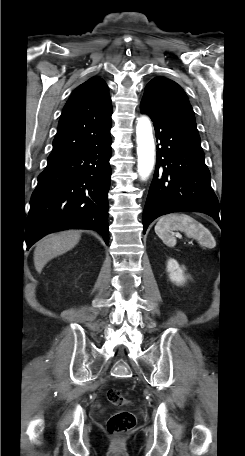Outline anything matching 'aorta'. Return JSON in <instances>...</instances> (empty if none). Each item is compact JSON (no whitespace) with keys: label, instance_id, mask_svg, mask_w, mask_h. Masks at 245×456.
Returning <instances> with one entry per match:
<instances>
[{"label":"aorta","instance_id":"obj_1","mask_svg":"<svg viewBox=\"0 0 245 456\" xmlns=\"http://www.w3.org/2000/svg\"><path fill=\"white\" fill-rule=\"evenodd\" d=\"M136 142L138 156V174L146 180L151 174L155 164V144L151 122L148 117L138 118L136 126Z\"/></svg>","mask_w":245,"mask_h":456}]
</instances>
